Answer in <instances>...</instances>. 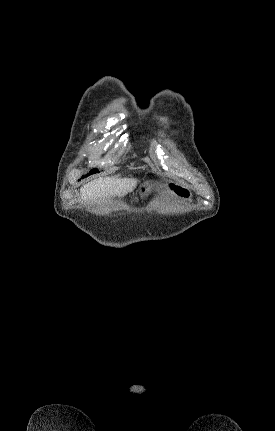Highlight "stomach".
<instances>
[{
  "label": "stomach",
  "instance_id": "0dacf381",
  "mask_svg": "<svg viewBox=\"0 0 275 431\" xmlns=\"http://www.w3.org/2000/svg\"><path fill=\"white\" fill-rule=\"evenodd\" d=\"M153 188H154L153 184L144 183L140 187V194L145 196L146 194L151 192ZM165 188L169 193H171L172 195L178 198L185 199V200H190L192 198L191 191L183 185L173 183V182H167Z\"/></svg>",
  "mask_w": 275,
  "mask_h": 431
}]
</instances>
